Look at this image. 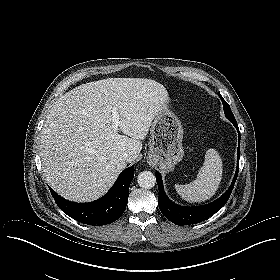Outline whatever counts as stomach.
<instances>
[{
	"mask_svg": "<svg viewBox=\"0 0 280 280\" xmlns=\"http://www.w3.org/2000/svg\"><path fill=\"white\" fill-rule=\"evenodd\" d=\"M151 144L148 162L169 172L183 159V127L170 110H162L154 119L150 129Z\"/></svg>",
	"mask_w": 280,
	"mask_h": 280,
	"instance_id": "stomach-1",
	"label": "stomach"
}]
</instances>
